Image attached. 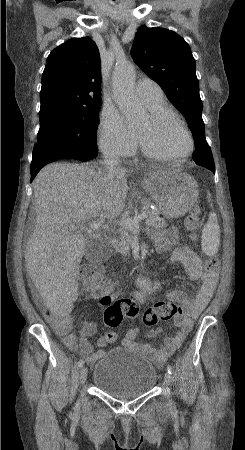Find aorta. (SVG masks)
Here are the masks:
<instances>
[{"instance_id":"obj_1","label":"aorta","mask_w":245,"mask_h":450,"mask_svg":"<svg viewBox=\"0 0 245 450\" xmlns=\"http://www.w3.org/2000/svg\"><path fill=\"white\" fill-rule=\"evenodd\" d=\"M135 69L129 62L119 63L113 74L116 103L127 121L135 125L145 116V110L134 92Z\"/></svg>"}]
</instances>
